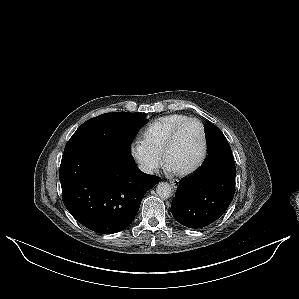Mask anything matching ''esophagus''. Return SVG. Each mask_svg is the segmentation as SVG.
Listing matches in <instances>:
<instances>
[{"label":"esophagus","instance_id":"obj_1","mask_svg":"<svg viewBox=\"0 0 299 299\" xmlns=\"http://www.w3.org/2000/svg\"><path fill=\"white\" fill-rule=\"evenodd\" d=\"M169 182H170V184L172 185V187L174 189H176L178 187V185H179V183H178L177 180H170Z\"/></svg>","mask_w":299,"mask_h":299}]
</instances>
